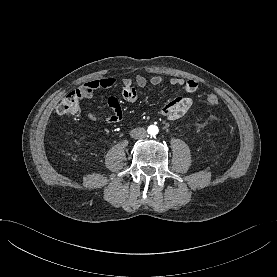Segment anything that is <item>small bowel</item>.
<instances>
[{"instance_id": "small-bowel-1", "label": "small bowel", "mask_w": 277, "mask_h": 277, "mask_svg": "<svg viewBox=\"0 0 277 277\" xmlns=\"http://www.w3.org/2000/svg\"><path fill=\"white\" fill-rule=\"evenodd\" d=\"M115 79L112 77H105L101 79H96L87 82L80 89L83 98H92L93 94L98 89H109L115 85ZM163 82L162 78L158 75H152L146 77L143 75H138L134 80L130 78H125L122 80V97L127 102H134L137 99L136 87L145 88L148 85L159 86ZM172 86H179L184 88L187 93H195L198 89V84L196 81L182 78H172L170 80ZM108 106L112 110V114L107 117H99L93 112L88 113V118L94 122H105L108 124H115L122 120L123 112L119 100L116 97L108 98ZM193 101L187 96H177L166 105H164L159 115L166 120H177L184 116L191 108Z\"/></svg>"}]
</instances>
